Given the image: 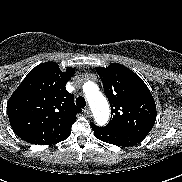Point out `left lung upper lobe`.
Here are the masks:
<instances>
[{
	"mask_svg": "<svg viewBox=\"0 0 182 182\" xmlns=\"http://www.w3.org/2000/svg\"><path fill=\"white\" fill-rule=\"evenodd\" d=\"M96 71L113 116L105 128L145 138L157 115L154 98L146 84L136 73L118 63L97 67Z\"/></svg>",
	"mask_w": 182,
	"mask_h": 182,
	"instance_id": "5c2ea615",
	"label": "left lung upper lobe"
}]
</instances>
